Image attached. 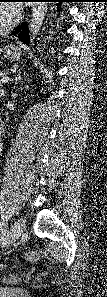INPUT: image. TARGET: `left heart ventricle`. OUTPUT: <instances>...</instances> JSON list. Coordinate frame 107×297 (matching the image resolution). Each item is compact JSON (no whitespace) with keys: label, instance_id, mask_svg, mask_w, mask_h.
Wrapping results in <instances>:
<instances>
[{"label":"left heart ventricle","instance_id":"left-heart-ventricle-1","mask_svg":"<svg viewBox=\"0 0 107 297\" xmlns=\"http://www.w3.org/2000/svg\"><path fill=\"white\" fill-rule=\"evenodd\" d=\"M0 12H1L0 26L7 25L13 20L15 16L13 6L11 5H5V4L0 5Z\"/></svg>","mask_w":107,"mask_h":297}]
</instances>
